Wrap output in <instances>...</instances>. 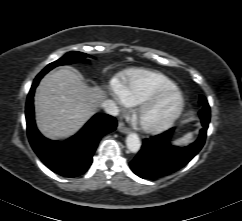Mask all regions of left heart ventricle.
Returning a JSON list of instances; mask_svg holds the SVG:
<instances>
[{
  "label": "left heart ventricle",
  "instance_id": "1",
  "mask_svg": "<svg viewBox=\"0 0 242 221\" xmlns=\"http://www.w3.org/2000/svg\"><path fill=\"white\" fill-rule=\"evenodd\" d=\"M174 98L169 97L167 98L158 108L150 112L147 116L148 120L154 121L159 119L168 109L173 105Z\"/></svg>",
  "mask_w": 242,
  "mask_h": 221
}]
</instances>
